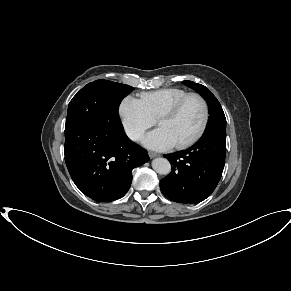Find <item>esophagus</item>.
Instances as JSON below:
<instances>
[{"label":"esophagus","instance_id":"obj_1","mask_svg":"<svg viewBox=\"0 0 291 291\" xmlns=\"http://www.w3.org/2000/svg\"><path fill=\"white\" fill-rule=\"evenodd\" d=\"M148 154H149V157H150V158H154V157H158V156H159L158 153H156V152H152V151H149Z\"/></svg>","mask_w":291,"mask_h":291}]
</instances>
